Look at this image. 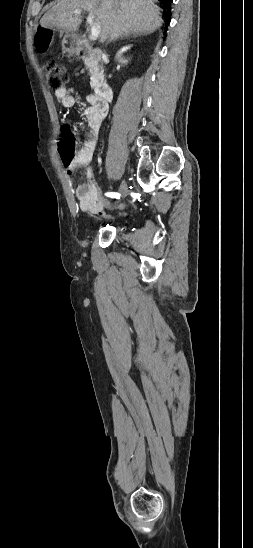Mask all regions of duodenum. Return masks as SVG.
<instances>
[{"label":"duodenum","mask_w":253,"mask_h":548,"mask_svg":"<svg viewBox=\"0 0 253 548\" xmlns=\"http://www.w3.org/2000/svg\"><path fill=\"white\" fill-rule=\"evenodd\" d=\"M75 47H76L78 56L83 59L92 60V61H98L101 59V56H102L101 50L92 48L88 44L82 41L75 43ZM95 92L100 98L106 101H110L113 98L112 87L105 81L97 82L95 86Z\"/></svg>","instance_id":"duodenum-1"}]
</instances>
